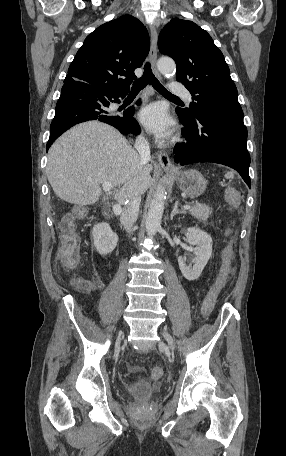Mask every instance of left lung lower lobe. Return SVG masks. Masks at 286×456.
Segmentation results:
<instances>
[{"label":"left lung lower lobe","instance_id":"left-lung-lower-lobe-1","mask_svg":"<svg viewBox=\"0 0 286 456\" xmlns=\"http://www.w3.org/2000/svg\"><path fill=\"white\" fill-rule=\"evenodd\" d=\"M187 143L174 148V160L180 165L194 162H213L229 166L251 186L250 155L247 150V129L243 117L219 110H199L188 117L176 108Z\"/></svg>","mask_w":286,"mask_h":456}]
</instances>
